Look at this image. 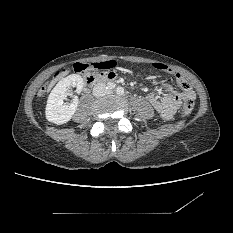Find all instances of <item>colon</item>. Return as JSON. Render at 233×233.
Masks as SVG:
<instances>
[{"label": "colon", "mask_w": 233, "mask_h": 233, "mask_svg": "<svg viewBox=\"0 0 233 233\" xmlns=\"http://www.w3.org/2000/svg\"><path fill=\"white\" fill-rule=\"evenodd\" d=\"M100 67H104V65H99ZM152 67L156 70L163 71V72H169L170 67L163 63V62H154L152 64ZM74 72L77 74H81L85 78L89 75H92V68L91 65L88 63L78 62L73 67ZM67 75V72L65 70L59 71L54 78V81L63 79ZM178 87L185 92V98L182 102V116L188 117L192 111L194 100L191 95V85L186 80H180L178 82ZM45 88H42L39 92V96L42 97L45 94Z\"/></svg>", "instance_id": "colon-1"}]
</instances>
